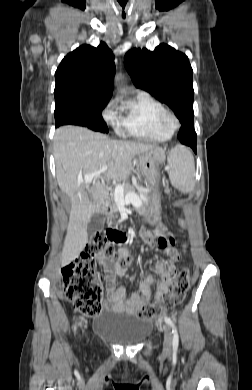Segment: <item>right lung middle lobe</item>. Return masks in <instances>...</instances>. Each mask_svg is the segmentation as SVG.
Returning a JSON list of instances; mask_svg holds the SVG:
<instances>
[{"label":"right lung middle lobe","instance_id":"obj_1","mask_svg":"<svg viewBox=\"0 0 252 390\" xmlns=\"http://www.w3.org/2000/svg\"><path fill=\"white\" fill-rule=\"evenodd\" d=\"M107 102L64 101L55 105V126L79 125L108 133L101 111Z\"/></svg>","mask_w":252,"mask_h":390}]
</instances>
